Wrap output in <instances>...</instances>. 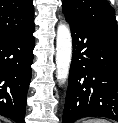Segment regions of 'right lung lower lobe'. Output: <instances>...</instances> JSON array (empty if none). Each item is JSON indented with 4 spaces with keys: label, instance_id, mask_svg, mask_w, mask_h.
<instances>
[{
    "label": "right lung lower lobe",
    "instance_id": "obj_1",
    "mask_svg": "<svg viewBox=\"0 0 118 123\" xmlns=\"http://www.w3.org/2000/svg\"><path fill=\"white\" fill-rule=\"evenodd\" d=\"M34 29L0 40V115L24 123L32 75Z\"/></svg>",
    "mask_w": 118,
    "mask_h": 123
}]
</instances>
